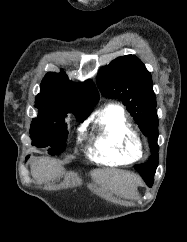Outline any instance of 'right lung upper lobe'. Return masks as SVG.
Segmentation results:
<instances>
[{"mask_svg": "<svg viewBox=\"0 0 187 242\" xmlns=\"http://www.w3.org/2000/svg\"><path fill=\"white\" fill-rule=\"evenodd\" d=\"M98 100V92L91 80L76 84L63 71L48 72L40 85V93L35 98V107L40 116L73 113L84 117L89 115Z\"/></svg>", "mask_w": 187, "mask_h": 242, "instance_id": "obj_1", "label": "right lung upper lobe"}]
</instances>
